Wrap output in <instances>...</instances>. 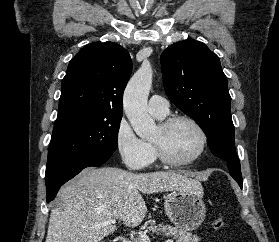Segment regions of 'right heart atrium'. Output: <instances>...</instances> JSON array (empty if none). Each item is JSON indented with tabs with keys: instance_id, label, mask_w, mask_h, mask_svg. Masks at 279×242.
<instances>
[{
	"instance_id": "obj_1",
	"label": "right heart atrium",
	"mask_w": 279,
	"mask_h": 242,
	"mask_svg": "<svg viewBox=\"0 0 279 242\" xmlns=\"http://www.w3.org/2000/svg\"><path fill=\"white\" fill-rule=\"evenodd\" d=\"M115 146L122 162L130 169H143L153 160L149 145L135 134L125 118L117 124Z\"/></svg>"
}]
</instances>
